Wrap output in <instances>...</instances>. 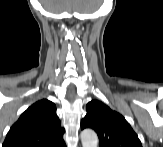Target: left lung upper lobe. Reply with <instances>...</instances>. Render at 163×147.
I'll list each match as a JSON object with an SVG mask.
<instances>
[{"instance_id":"1","label":"left lung upper lobe","mask_w":163,"mask_h":147,"mask_svg":"<svg viewBox=\"0 0 163 147\" xmlns=\"http://www.w3.org/2000/svg\"><path fill=\"white\" fill-rule=\"evenodd\" d=\"M81 129L92 128L99 137V147H142L141 142L125 118L99 100L86 105Z\"/></svg>"}]
</instances>
